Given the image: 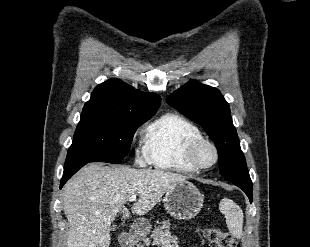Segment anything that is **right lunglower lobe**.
Masks as SVG:
<instances>
[{
    "mask_svg": "<svg viewBox=\"0 0 310 247\" xmlns=\"http://www.w3.org/2000/svg\"><path fill=\"white\" fill-rule=\"evenodd\" d=\"M87 163H79L72 166L64 167L63 177L60 182V188L84 165Z\"/></svg>",
    "mask_w": 310,
    "mask_h": 247,
    "instance_id": "1",
    "label": "right lung lower lobe"
}]
</instances>
